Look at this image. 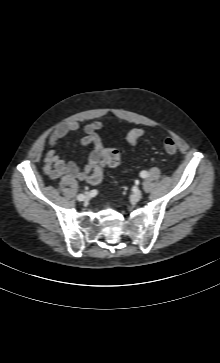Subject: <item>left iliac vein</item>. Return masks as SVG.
<instances>
[{
  "label": "left iliac vein",
  "mask_w": 220,
  "mask_h": 363,
  "mask_svg": "<svg viewBox=\"0 0 220 363\" xmlns=\"http://www.w3.org/2000/svg\"><path fill=\"white\" fill-rule=\"evenodd\" d=\"M142 197V191L139 189H136L130 196V200L133 203L138 202Z\"/></svg>",
  "instance_id": "obj_1"
}]
</instances>
